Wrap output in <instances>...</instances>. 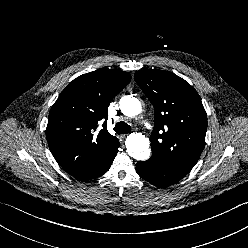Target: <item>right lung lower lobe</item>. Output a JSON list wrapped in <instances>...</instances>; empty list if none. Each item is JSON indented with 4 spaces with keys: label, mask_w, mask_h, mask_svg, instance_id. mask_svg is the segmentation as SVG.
<instances>
[{
    "label": "right lung lower lobe",
    "mask_w": 248,
    "mask_h": 248,
    "mask_svg": "<svg viewBox=\"0 0 248 248\" xmlns=\"http://www.w3.org/2000/svg\"><path fill=\"white\" fill-rule=\"evenodd\" d=\"M118 146H119V141H118V139H116L114 144H113V149H112L111 153L109 154L107 160L99 167L98 170L91 173L90 175H88L85 178H80V180H83V181L91 180V179L97 178V177L103 175L104 173H106L109 170V168H110V166H111V164H112V162H113V160H114V158L118 152Z\"/></svg>",
    "instance_id": "98d812e1"
}]
</instances>
